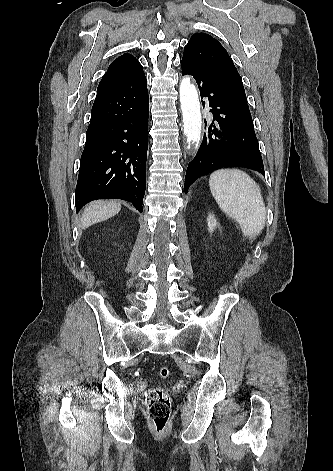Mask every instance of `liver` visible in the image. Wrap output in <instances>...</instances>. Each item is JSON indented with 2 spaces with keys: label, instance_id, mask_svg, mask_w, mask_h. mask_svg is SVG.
Here are the masks:
<instances>
[{
  "label": "liver",
  "instance_id": "1",
  "mask_svg": "<svg viewBox=\"0 0 333 471\" xmlns=\"http://www.w3.org/2000/svg\"><path fill=\"white\" fill-rule=\"evenodd\" d=\"M121 210V204L116 201H94L84 208L80 227L86 229L98 222L115 216Z\"/></svg>",
  "mask_w": 333,
  "mask_h": 471
}]
</instances>
